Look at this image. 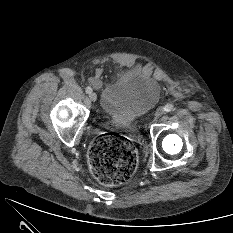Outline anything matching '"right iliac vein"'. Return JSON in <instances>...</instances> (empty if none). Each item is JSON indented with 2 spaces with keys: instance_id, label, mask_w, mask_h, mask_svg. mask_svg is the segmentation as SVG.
I'll return each instance as SVG.
<instances>
[{
  "instance_id": "63e3f726",
  "label": "right iliac vein",
  "mask_w": 233,
  "mask_h": 233,
  "mask_svg": "<svg viewBox=\"0 0 233 233\" xmlns=\"http://www.w3.org/2000/svg\"><path fill=\"white\" fill-rule=\"evenodd\" d=\"M89 98L91 101L95 102L97 100V95L94 92L89 93Z\"/></svg>"
}]
</instances>
